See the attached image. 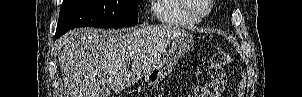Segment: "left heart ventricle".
Returning <instances> with one entry per match:
<instances>
[{
	"label": "left heart ventricle",
	"instance_id": "left-heart-ventricle-1",
	"mask_svg": "<svg viewBox=\"0 0 302 97\" xmlns=\"http://www.w3.org/2000/svg\"><path fill=\"white\" fill-rule=\"evenodd\" d=\"M191 3L195 11H197L198 13H203L207 10L205 0H191Z\"/></svg>",
	"mask_w": 302,
	"mask_h": 97
}]
</instances>
